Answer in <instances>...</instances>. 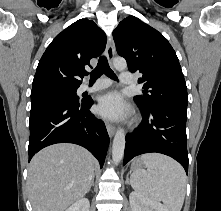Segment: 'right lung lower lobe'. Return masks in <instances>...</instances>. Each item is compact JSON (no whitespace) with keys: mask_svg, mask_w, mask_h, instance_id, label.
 Here are the masks:
<instances>
[{"mask_svg":"<svg viewBox=\"0 0 221 211\" xmlns=\"http://www.w3.org/2000/svg\"><path fill=\"white\" fill-rule=\"evenodd\" d=\"M92 99L70 102L48 100L31 106L29 161L42 148L55 143H74L88 149L103 166L109 136L102 120L91 112Z\"/></svg>","mask_w":221,"mask_h":211,"instance_id":"98d812e1","label":"right lung lower lobe"}]
</instances>
